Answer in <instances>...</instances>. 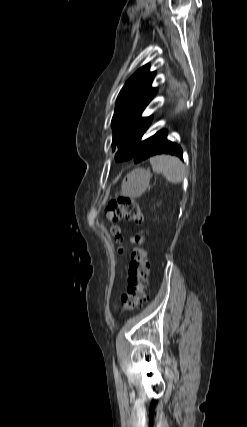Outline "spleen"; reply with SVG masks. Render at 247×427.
<instances>
[{"label": "spleen", "instance_id": "3e777b00", "mask_svg": "<svg viewBox=\"0 0 247 427\" xmlns=\"http://www.w3.org/2000/svg\"><path fill=\"white\" fill-rule=\"evenodd\" d=\"M150 163L155 173H162L167 181L173 184H178L185 178V166L177 157L160 155L153 157Z\"/></svg>", "mask_w": 247, "mask_h": 427}]
</instances>
